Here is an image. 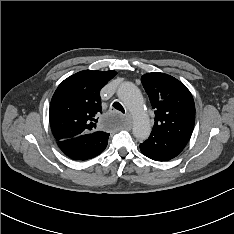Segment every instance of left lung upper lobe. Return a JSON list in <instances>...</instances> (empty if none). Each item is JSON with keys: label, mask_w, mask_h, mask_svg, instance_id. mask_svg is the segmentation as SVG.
<instances>
[{"label": "left lung upper lobe", "mask_w": 234, "mask_h": 234, "mask_svg": "<svg viewBox=\"0 0 234 234\" xmlns=\"http://www.w3.org/2000/svg\"><path fill=\"white\" fill-rule=\"evenodd\" d=\"M141 81L155 109L151 134L167 138L184 148L195 124L192 94L183 83L164 73L145 74Z\"/></svg>", "instance_id": "left-lung-upper-lobe-1"}]
</instances>
